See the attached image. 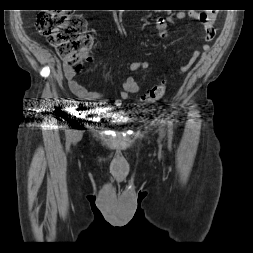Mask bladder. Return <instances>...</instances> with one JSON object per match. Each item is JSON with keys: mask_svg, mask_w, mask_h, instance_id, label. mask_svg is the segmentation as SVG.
<instances>
[{"mask_svg": "<svg viewBox=\"0 0 253 253\" xmlns=\"http://www.w3.org/2000/svg\"><path fill=\"white\" fill-rule=\"evenodd\" d=\"M121 115H122V112H111L109 117L113 122L125 123L126 120L120 118Z\"/></svg>", "mask_w": 253, "mask_h": 253, "instance_id": "1", "label": "bladder"}]
</instances>
